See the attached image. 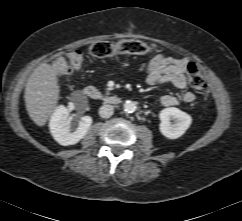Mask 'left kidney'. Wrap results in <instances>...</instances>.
Wrapping results in <instances>:
<instances>
[{
    "instance_id": "obj_1",
    "label": "left kidney",
    "mask_w": 242,
    "mask_h": 221,
    "mask_svg": "<svg viewBox=\"0 0 242 221\" xmlns=\"http://www.w3.org/2000/svg\"><path fill=\"white\" fill-rule=\"evenodd\" d=\"M159 129L168 139H177L190 127L192 118L189 114L175 107L165 108L159 113Z\"/></svg>"
}]
</instances>
